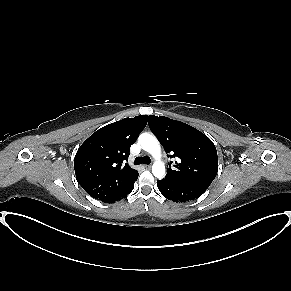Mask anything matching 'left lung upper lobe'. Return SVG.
I'll return each mask as SVG.
<instances>
[{"instance_id": "obj_1", "label": "left lung upper lobe", "mask_w": 291, "mask_h": 291, "mask_svg": "<svg viewBox=\"0 0 291 291\" xmlns=\"http://www.w3.org/2000/svg\"><path fill=\"white\" fill-rule=\"evenodd\" d=\"M148 124L169 154L168 157L178 158L175 168H168L166 177L207 189L218 171L217 151L213 142L199 130L167 117L150 115Z\"/></svg>"}]
</instances>
